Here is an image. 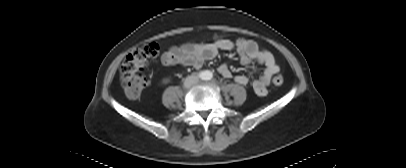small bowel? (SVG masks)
Instances as JSON below:
<instances>
[{
	"label": "small bowel",
	"mask_w": 406,
	"mask_h": 168,
	"mask_svg": "<svg viewBox=\"0 0 406 168\" xmlns=\"http://www.w3.org/2000/svg\"><path fill=\"white\" fill-rule=\"evenodd\" d=\"M219 50H235L242 64H250L254 61L264 66L261 76L253 79L250 75H237L234 80L240 85H250L258 96H266L267 86L275 72L279 71V65L275 61L273 54L260 48L251 40L239 37L235 41L220 40L216 43H196L188 42L179 46H172L166 51L161 61L166 66L185 65L199 68L205 61L214 58ZM219 73L224 78H231L232 72L227 64H222Z\"/></svg>",
	"instance_id": "1"
}]
</instances>
